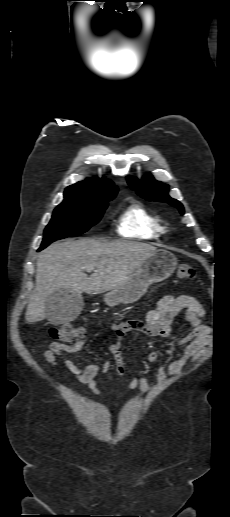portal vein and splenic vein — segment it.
<instances>
[{"instance_id":"18ae733b","label":"portal vein and splenic vein","mask_w":230,"mask_h":517,"mask_svg":"<svg viewBox=\"0 0 230 517\" xmlns=\"http://www.w3.org/2000/svg\"><path fill=\"white\" fill-rule=\"evenodd\" d=\"M85 270H86L87 272H91V271H93V270H94V267H93V266H87V267H85Z\"/></svg>"}]
</instances>
